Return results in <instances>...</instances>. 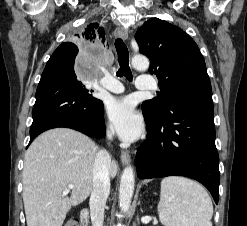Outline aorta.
I'll return each mask as SVG.
<instances>
[{"instance_id": "aorta-1", "label": "aorta", "mask_w": 247, "mask_h": 226, "mask_svg": "<svg viewBox=\"0 0 247 226\" xmlns=\"http://www.w3.org/2000/svg\"><path fill=\"white\" fill-rule=\"evenodd\" d=\"M132 66L137 70H146L149 67V60L142 55H136L132 58ZM135 179L134 172L131 166L123 170L119 188V204L121 210L126 212L129 210L132 196L134 193Z\"/></svg>"}]
</instances>
